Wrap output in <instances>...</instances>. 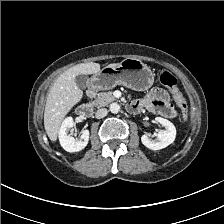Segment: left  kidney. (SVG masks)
<instances>
[{"label": "left kidney", "mask_w": 224, "mask_h": 224, "mask_svg": "<svg viewBox=\"0 0 224 224\" xmlns=\"http://www.w3.org/2000/svg\"><path fill=\"white\" fill-rule=\"evenodd\" d=\"M155 120L165 127V130L158 132L157 139L151 140L147 134L141 137L144 146L151 150H160L172 144L176 138V128L169 120L156 117Z\"/></svg>", "instance_id": "5707ae66"}]
</instances>
